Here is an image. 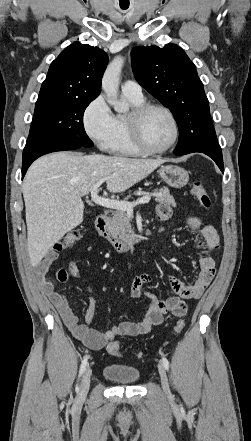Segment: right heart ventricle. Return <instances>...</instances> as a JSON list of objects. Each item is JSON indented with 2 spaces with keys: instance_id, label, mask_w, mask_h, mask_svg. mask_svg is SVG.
I'll return each instance as SVG.
<instances>
[{
  "instance_id": "obj_1",
  "label": "right heart ventricle",
  "mask_w": 251,
  "mask_h": 441,
  "mask_svg": "<svg viewBox=\"0 0 251 441\" xmlns=\"http://www.w3.org/2000/svg\"><path fill=\"white\" fill-rule=\"evenodd\" d=\"M133 107L145 103L143 96L134 97L125 95ZM116 132L108 150L121 155L135 156L142 153L133 143L127 123V115L118 114L115 116Z\"/></svg>"
}]
</instances>
